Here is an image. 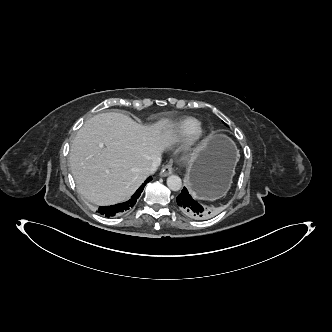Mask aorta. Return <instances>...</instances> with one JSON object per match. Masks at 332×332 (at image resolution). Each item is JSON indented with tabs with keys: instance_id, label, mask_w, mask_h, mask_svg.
<instances>
[{
	"instance_id": "aorta-1",
	"label": "aorta",
	"mask_w": 332,
	"mask_h": 332,
	"mask_svg": "<svg viewBox=\"0 0 332 332\" xmlns=\"http://www.w3.org/2000/svg\"><path fill=\"white\" fill-rule=\"evenodd\" d=\"M167 186L172 191H179L182 187L181 178L177 175H171L167 178Z\"/></svg>"
}]
</instances>
